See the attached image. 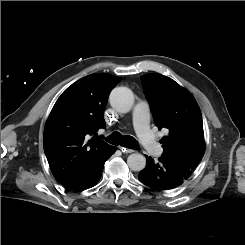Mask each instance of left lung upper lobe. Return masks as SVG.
Listing matches in <instances>:
<instances>
[{
    "label": "left lung upper lobe",
    "instance_id": "obj_1",
    "mask_svg": "<svg viewBox=\"0 0 245 245\" xmlns=\"http://www.w3.org/2000/svg\"><path fill=\"white\" fill-rule=\"evenodd\" d=\"M154 122L162 138V156L194 171L203 158L205 140L200 108L193 95L169 77L160 74L141 76Z\"/></svg>",
    "mask_w": 245,
    "mask_h": 245
}]
</instances>
